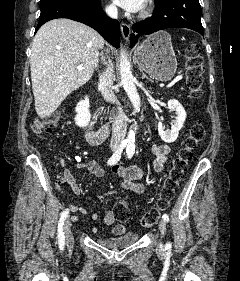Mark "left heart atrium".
I'll return each mask as SVG.
<instances>
[{"instance_id":"39dd6f15","label":"left heart atrium","mask_w":240,"mask_h":281,"mask_svg":"<svg viewBox=\"0 0 240 281\" xmlns=\"http://www.w3.org/2000/svg\"><path fill=\"white\" fill-rule=\"evenodd\" d=\"M114 2L129 12L139 11L144 5V0H114Z\"/></svg>"}]
</instances>
